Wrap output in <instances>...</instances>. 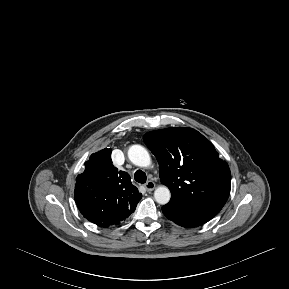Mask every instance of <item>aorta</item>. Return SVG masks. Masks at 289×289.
<instances>
[{
    "instance_id": "aorta-1",
    "label": "aorta",
    "mask_w": 289,
    "mask_h": 289,
    "mask_svg": "<svg viewBox=\"0 0 289 289\" xmlns=\"http://www.w3.org/2000/svg\"><path fill=\"white\" fill-rule=\"evenodd\" d=\"M128 157L134 165L139 167H148L151 163L148 151L141 145L130 146ZM154 198L157 203L165 205L171 198L170 190L166 186H159L154 191Z\"/></svg>"
}]
</instances>
